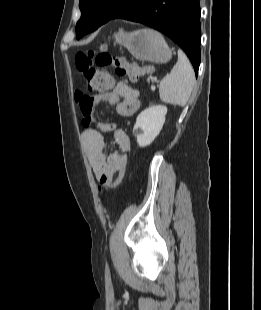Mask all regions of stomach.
Instances as JSON below:
<instances>
[{
  "mask_svg": "<svg viewBox=\"0 0 261 310\" xmlns=\"http://www.w3.org/2000/svg\"><path fill=\"white\" fill-rule=\"evenodd\" d=\"M119 45L126 47L134 58L140 61L166 63L172 57V50L162 35L151 29L125 32L119 29L114 34Z\"/></svg>",
  "mask_w": 261,
  "mask_h": 310,
  "instance_id": "stomach-1",
  "label": "stomach"
}]
</instances>
